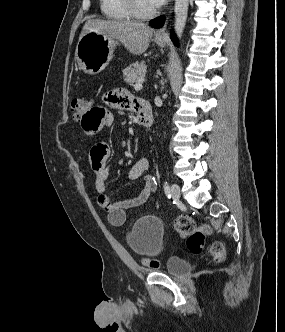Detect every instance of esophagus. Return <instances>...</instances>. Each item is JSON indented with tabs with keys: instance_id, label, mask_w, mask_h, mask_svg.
I'll list each match as a JSON object with an SVG mask.
<instances>
[{
	"instance_id": "obj_1",
	"label": "esophagus",
	"mask_w": 285,
	"mask_h": 332,
	"mask_svg": "<svg viewBox=\"0 0 285 332\" xmlns=\"http://www.w3.org/2000/svg\"><path fill=\"white\" fill-rule=\"evenodd\" d=\"M166 34H167V20L164 23V25L156 31L155 36L162 38L165 37Z\"/></svg>"
}]
</instances>
